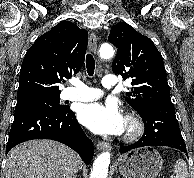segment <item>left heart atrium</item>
I'll return each instance as SVG.
<instances>
[{"instance_id":"1","label":"left heart atrium","mask_w":194,"mask_h":178,"mask_svg":"<svg viewBox=\"0 0 194 178\" xmlns=\"http://www.w3.org/2000/svg\"><path fill=\"white\" fill-rule=\"evenodd\" d=\"M78 118L84 126L100 135H120L126 129L125 119L113 103L83 105L78 112Z\"/></svg>"}]
</instances>
